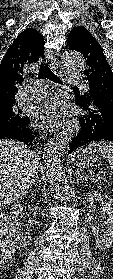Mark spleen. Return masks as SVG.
Masks as SVG:
<instances>
[{"instance_id": "3e777b00", "label": "spleen", "mask_w": 113, "mask_h": 279, "mask_svg": "<svg viewBox=\"0 0 113 279\" xmlns=\"http://www.w3.org/2000/svg\"><path fill=\"white\" fill-rule=\"evenodd\" d=\"M89 147L97 150L107 159L113 172V142H94Z\"/></svg>"}]
</instances>
